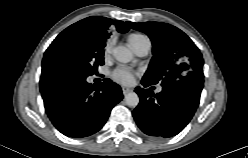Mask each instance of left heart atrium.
I'll use <instances>...</instances> for the list:
<instances>
[{"label":"left heart atrium","mask_w":248,"mask_h":158,"mask_svg":"<svg viewBox=\"0 0 248 158\" xmlns=\"http://www.w3.org/2000/svg\"><path fill=\"white\" fill-rule=\"evenodd\" d=\"M136 75V71L125 66L116 67L110 74L111 79L121 85L132 84Z\"/></svg>","instance_id":"39dd6f15"}]
</instances>
